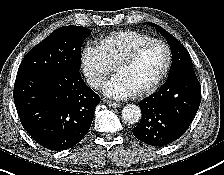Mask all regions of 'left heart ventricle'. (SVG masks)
<instances>
[{"instance_id":"obj_1","label":"left heart ventricle","mask_w":224,"mask_h":175,"mask_svg":"<svg viewBox=\"0 0 224 175\" xmlns=\"http://www.w3.org/2000/svg\"><path fill=\"white\" fill-rule=\"evenodd\" d=\"M165 60V48L160 44H152L133 63L119 69L117 74L135 92L149 85L157 77Z\"/></svg>"}]
</instances>
